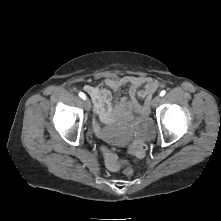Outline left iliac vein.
Here are the masks:
<instances>
[{
  "label": "left iliac vein",
  "mask_w": 221,
  "mask_h": 221,
  "mask_svg": "<svg viewBox=\"0 0 221 221\" xmlns=\"http://www.w3.org/2000/svg\"><path fill=\"white\" fill-rule=\"evenodd\" d=\"M160 101V96H156L153 100H152V106L155 107ZM147 111H148V106H147Z\"/></svg>",
  "instance_id": "4c4485c4"
}]
</instances>
